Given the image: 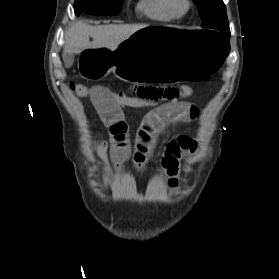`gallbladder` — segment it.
<instances>
[{"instance_id": "bac80fb5", "label": "gallbladder", "mask_w": 279, "mask_h": 279, "mask_svg": "<svg viewBox=\"0 0 279 279\" xmlns=\"http://www.w3.org/2000/svg\"><path fill=\"white\" fill-rule=\"evenodd\" d=\"M63 60H64L65 66L67 68H69L74 63V55L73 54H68V53H63Z\"/></svg>"}]
</instances>
